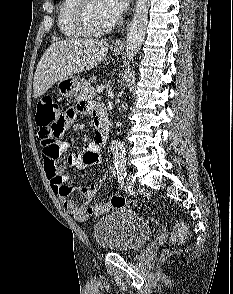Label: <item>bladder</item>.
I'll return each instance as SVG.
<instances>
[{
    "label": "bladder",
    "mask_w": 233,
    "mask_h": 294,
    "mask_svg": "<svg viewBox=\"0 0 233 294\" xmlns=\"http://www.w3.org/2000/svg\"><path fill=\"white\" fill-rule=\"evenodd\" d=\"M152 234L150 224L138 213L119 208L101 217L93 227L96 244L117 253L140 251Z\"/></svg>",
    "instance_id": "obj_1"
}]
</instances>
